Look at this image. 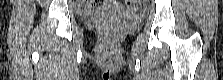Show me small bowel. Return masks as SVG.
Segmentation results:
<instances>
[{
  "instance_id": "1",
  "label": "small bowel",
  "mask_w": 223,
  "mask_h": 80,
  "mask_svg": "<svg viewBox=\"0 0 223 80\" xmlns=\"http://www.w3.org/2000/svg\"><path fill=\"white\" fill-rule=\"evenodd\" d=\"M105 5L108 6V7H112V6H115L116 4L114 2H111V1L106 2L104 4H101V3L96 1L94 3L89 4L86 7V9H88V10H96V9H99L100 7H102V6H105Z\"/></svg>"
}]
</instances>
